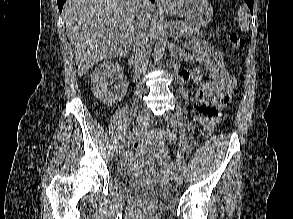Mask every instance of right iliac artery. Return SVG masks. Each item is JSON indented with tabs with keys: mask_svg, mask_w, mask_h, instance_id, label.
<instances>
[{
	"mask_svg": "<svg viewBox=\"0 0 293 219\" xmlns=\"http://www.w3.org/2000/svg\"><path fill=\"white\" fill-rule=\"evenodd\" d=\"M146 129H147V124H144L143 126L136 128L132 132L124 133L123 135H121L119 137L118 144L124 142L125 141V138H131L134 135H140V134H142Z\"/></svg>",
	"mask_w": 293,
	"mask_h": 219,
	"instance_id": "right-iliac-artery-1",
	"label": "right iliac artery"
}]
</instances>
